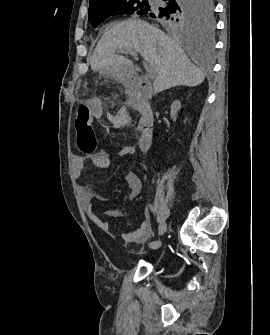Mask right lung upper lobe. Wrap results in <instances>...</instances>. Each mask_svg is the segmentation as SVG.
Returning <instances> with one entry per match:
<instances>
[{
	"label": "right lung upper lobe",
	"instance_id": "1",
	"mask_svg": "<svg viewBox=\"0 0 270 335\" xmlns=\"http://www.w3.org/2000/svg\"><path fill=\"white\" fill-rule=\"evenodd\" d=\"M112 1L114 0H90L89 8L101 6V5L107 4Z\"/></svg>",
	"mask_w": 270,
	"mask_h": 335
}]
</instances>
